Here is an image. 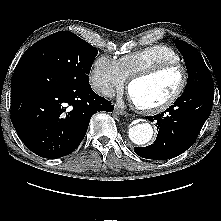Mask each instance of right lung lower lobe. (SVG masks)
Segmentation results:
<instances>
[{
	"instance_id": "right-lung-lower-lobe-1",
	"label": "right lung lower lobe",
	"mask_w": 221,
	"mask_h": 221,
	"mask_svg": "<svg viewBox=\"0 0 221 221\" xmlns=\"http://www.w3.org/2000/svg\"><path fill=\"white\" fill-rule=\"evenodd\" d=\"M113 109L89 83L41 62L20 59L15 68L11 121L21 141L41 157L56 159L70 154L83 140L92 115Z\"/></svg>"
}]
</instances>
